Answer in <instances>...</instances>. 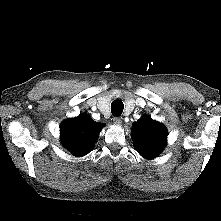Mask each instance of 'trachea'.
Returning a JSON list of instances; mask_svg holds the SVG:
<instances>
[{
	"label": "trachea",
	"mask_w": 221,
	"mask_h": 221,
	"mask_svg": "<svg viewBox=\"0 0 221 221\" xmlns=\"http://www.w3.org/2000/svg\"><path fill=\"white\" fill-rule=\"evenodd\" d=\"M124 104L120 100H114L111 103V112L114 116H120L123 112Z\"/></svg>",
	"instance_id": "3493384b"
}]
</instances>
